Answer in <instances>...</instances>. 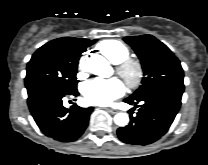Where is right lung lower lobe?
<instances>
[{
    "label": "right lung lower lobe",
    "mask_w": 208,
    "mask_h": 165,
    "mask_svg": "<svg viewBox=\"0 0 208 165\" xmlns=\"http://www.w3.org/2000/svg\"><path fill=\"white\" fill-rule=\"evenodd\" d=\"M78 94L77 89L71 92L43 90L28 97L30 112L46 136L60 142H72L83 134L93 107L67 109L62 105L63 97Z\"/></svg>",
    "instance_id": "right-lung-lower-lobe-1"
}]
</instances>
